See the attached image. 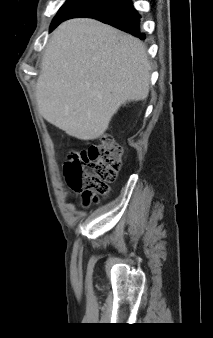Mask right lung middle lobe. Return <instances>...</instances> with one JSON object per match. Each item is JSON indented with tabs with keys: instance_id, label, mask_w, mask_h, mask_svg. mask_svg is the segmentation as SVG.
Masks as SVG:
<instances>
[{
	"instance_id": "right-lung-middle-lobe-1",
	"label": "right lung middle lobe",
	"mask_w": 213,
	"mask_h": 338,
	"mask_svg": "<svg viewBox=\"0 0 213 338\" xmlns=\"http://www.w3.org/2000/svg\"><path fill=\"white\" fill-rule=\"evenodd\" d=\"M92 1L93 0H67L53 19L50 26V31L58 26L61 22L65 21V19L76 9Z\"/></svg>"
}]
</instances>
